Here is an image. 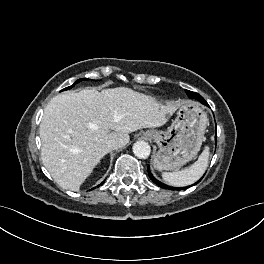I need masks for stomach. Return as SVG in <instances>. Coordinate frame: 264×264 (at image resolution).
I'll return each instance as SVG.
<instances>
[{"instance_id":"0dacf381","label":"stomach","mask_w":264,"mask_h":264,"mask_svg":"<svg viewBox=\"0 0 264 264\" xmlns=\"http://www.w3.org/2000/svg\"><path fill=\"white\" fill-rule=\"evenodd\" d=\"M207 114L196 103H184L166 131L148 130L144 136L154 140L159 147L153 157L155 169L174 170L191 161L198 154L205 129Z\"/></svg>"}]
</instances>
